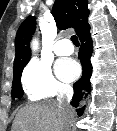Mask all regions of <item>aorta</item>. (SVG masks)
I'll return each mask as SVG.
<instances>
[{
    "mask_svg": "<svg viewBox=\"0 0 117 131\" xmlns=\"http://www.w3.org/2000/svg\"><path fill=\"white\" fill-rule=\"evenodd\" d=\"M32 50L35 51L38 49V41L34 39L31 43Z\"/></svg>",
    "mask_w": 117,
    "mask_h": 131,
    "instance_id": "1",
    "label": "aorta"
}]
</instances>
